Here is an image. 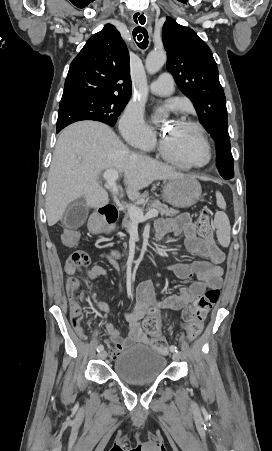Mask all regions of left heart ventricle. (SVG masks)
I'll use <instances>...</instances> for the list:
<instances>
[{"label": "left heart ventricle", "instance_id": "1", "mask_svg": "<svg viewBox=\"0 0 272 451\" xmlns=\"http://www.w3.org/2000/svg\"><path fill=\"white\" fill-rule=\"evenodd\" d=\"M173 130L166 136L172 151L183 161L201 163L205 154L196 132L177 121L172 122Z\"/></svg>", "mask_w": 272, "mask_h": 451}]
</instances>
